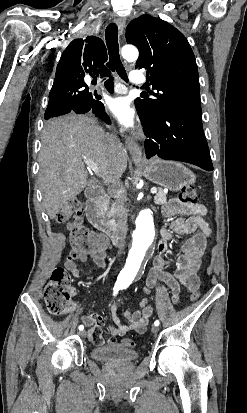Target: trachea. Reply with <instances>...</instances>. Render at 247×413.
Instances as JSON below:
<instances>
[{
	"instance_id": "1",
	"label": "trachea",
	"mask_w": 247,
	"mask_h": 413,
	"mask_svg": "<svg viewBox=\"0 0 247 413\" xmlns=\"http://www.w3.org/2000/svg\"><path fill=\"white\" fill-rule=\"evenodd\" d=\"M105 39L109 51L108 68L114 72L115 70L119 76L128 82L127 73L119 56V44H118V27L115 23H110L105 32ZM144 88V86H142Z\"/></svg>"
}]
</instances>
